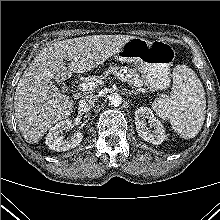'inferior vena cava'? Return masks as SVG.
Returning <instances> with one entry per match:
<instances>
[{
  "mask_svg": "<svg viewBox=\"0 0 220 220\" xmlns=\"http://www.w3.org/2000/svg\"><path fill=\"white\" fill-rule=\"evenodd\" d=\"M97 102H98L97 95L94 94L86 95L79 101V109L83 112H88L95 108Z\"/></svg>",
  "mask_w": 220,
  "mask_h": 220,
  "instance_id": "1",
  "label": "inferior vena cava"
}]
</instances>
